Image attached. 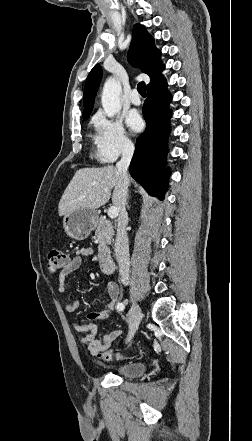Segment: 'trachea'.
<instances>
[{
    "label": "trachea",
    "instance_id": "obj_1",
    "mask_svg": "<svg viewBox=\"0 0 252 441\" xmlns=\"http://www.w3.org/2000/svg\"><path fill=\"white\" fill-rule=\"evenodd\" d=\"M137 90L140 93L141 96H146V85L144 82H140L137 85Z\"/></svg>",
    "mask_w": 252,
    "mask_h": 441
}]
</instances>
